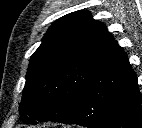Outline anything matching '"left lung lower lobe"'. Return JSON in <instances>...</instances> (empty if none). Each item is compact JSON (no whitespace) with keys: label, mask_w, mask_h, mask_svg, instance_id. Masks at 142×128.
<instances>
[{"label":"left lung lower lobe","mask_w":142,"mask_h":128,"mask_svg":"<svg viewBox=\"0 0 142 128\" xmlns=\"http://www.w3.org/2000/svg\"><path fill=\"white\" fill-rule=\"evenodd\" d=\"M56 122L88 128H142L137 76L123 51L91 79L69 114Z\"/></svg>","instance_id":"1"}]
</instances>
